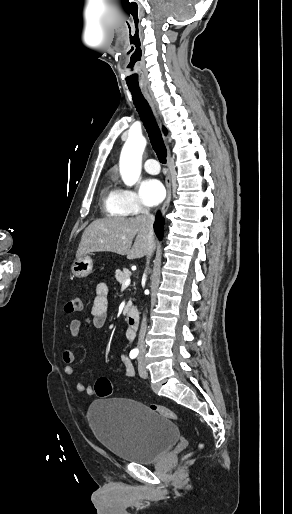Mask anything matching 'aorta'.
<instances>
[{
    "mask_svg": "<svg viewBox=\"0 0 292 514\" xmlns=\"http://www.w3.org/2000/svg\"><path fill=\"white\" fill-rule=\"evenodd\" d=\"M146 142L143 136H129L120 158V174L126 186H134L141 174V158Z\"/></svg>",
    "mask_w": 292,
    "mask_h": 514,
    "instance_id": "obj_1",
    "label": "aorta"
}]
</instances>
